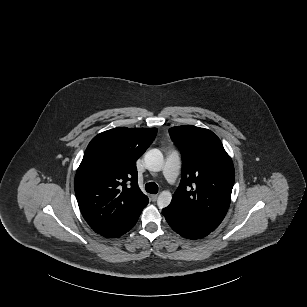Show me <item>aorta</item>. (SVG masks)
Returning a JSON list of instances; mask_svg holds the SVG:
<instances>
[{"label": "aorta", "instance_id": "obj_1", "mask_svg": "<svg viewBox=\"0 0 307 307\" xmlns=\"http://www.w3.org/2000/svg\"><path fill=\"white\" fill-rule=\"evenodd\" d=\"M144 164L148 170L160 171L163 168V154L158 148H152L144 155ZM172 196L169 192H162L157 197V206L159 209L166 208L171 203Z\"/></svg>", "mask_w": 307, "mask_h": 307}]
</instances>
